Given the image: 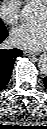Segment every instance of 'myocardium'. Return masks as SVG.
Instances as JSON below:
<instances>
[{
    "label": "myocardium",
    "mask_w": 47,
    "mask_h": 129,
    "mask_svg": "<svg viewBox=\"0 0 47 129\" xmlns=\"http://www.w3.org/2000/svg\"><path fill=\"white\" fill-rule=\"evenodd\" d=\"M43 5H46V0L43 2Z\"/></svg>",
    "instance_id": "obj_1"
}]
</instances>
